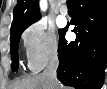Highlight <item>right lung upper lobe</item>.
I'll use <instances>...</instances> for the list:
<instances>
[{"label": "right lung upper lobe", "mask_w": 107, "mask_h": 89, "mask_svg": "<svg viewBox=\"0 0 107 89\" xmlns=\"http://www.w3.org/2000/svg\"><path fill=\"white\" fill-rule=\"evenodd\" d=\"M40 19L38 0H18L13 10L11 28H16Z\"/></svg>", "instance_id": "cb5924a9"}]
</instances>
